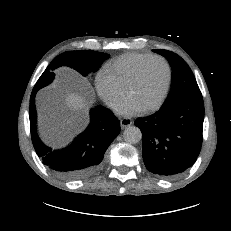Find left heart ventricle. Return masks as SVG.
I'll use <instances>...</instances> for the list:
<instances>
[{
  "mask_svg": "<svg viewBox=\"0 0 231 231\" xmlns=\"http://www.w3.org/2000/svg\"><path fill=\"white\" fill-rule=\"evenodd\" d=\"M167 77L166 67L160 60L150 61L141 74L137 84L128 97L135 100L142 108L155 103L160 97Z\"/></svg>",
  "mask_w": 231,
  "mask_h": 231,
  "instance_id": "1",
  "label": "left heart ventricle"
}]
</instances>
